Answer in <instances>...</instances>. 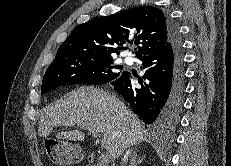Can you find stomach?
I'll list each match as a JSON object with an SVG mask.
<instances>
[{
    "instance_id": "0dacf381",
    "label": "stomach",
    "mask_w": 231,
    "mask_h": 166,
    "mask_svg": "<svg viewBox=\"0 0 231 166\" xmlns=\"http://www.w3.org/2000/svg\"><path fill=\"white\" fill-rule=\"evenodd\" d=\"M44 148L51 161L60 166L76 164L84 159L82 148L72 142L60 139L44 141Z\"/></svg>"
}]
</instances>
